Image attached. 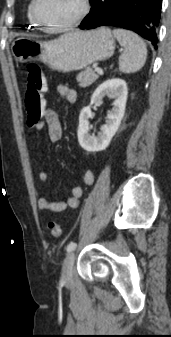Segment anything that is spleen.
Instances as JSON below:
<instances>
[{"instance_id": "obj_1", "label": "spleen", "mask_w": 171, "mask_h": 337, "mask_svg": "<svg viewBox=\"0 0 171 337\" xmlns=\"http://www.w3.org/2000/svg\"><path fill=\"white\" fill-rule=\"evenodd\" d=\"M114 37L124 47V52L119 57V70L123 73H135L145 64L147 46L135 33L124 29H114Z\"/></svg>"}]
</instances>
